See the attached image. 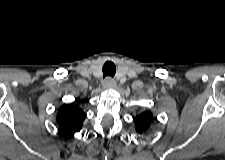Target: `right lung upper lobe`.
<instances>
[{"label":"right lung upper lobe","mask_w":225,"mask_h":160,"mask_svg":"<svg viewBox=\"0 0 225 160\" xmlns=\"http://www.w3.org/2000/svg\"><path fill=\"white\" fill-rule=\"evenodd\" d=\"M86 114L76 105H63L59 108L56 117L62 131L68 136H74L82 128Z\"/></svg>","instance_id":"cb5924a9"}]
</instances>
